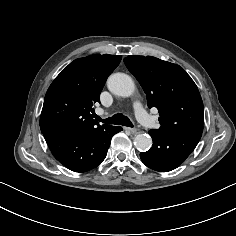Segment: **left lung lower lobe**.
Segmentation results:
<instances>
[{
	"label": "left lung lower lobe",
	"mask_w": 236,
	"mask_h": 236,
	"mask_svg": "<svg viewBox=\"0 0 236 236\" xmlns=\"http://www.w3.org/2000/svg\"><path fill=\"white\" fill-rule=\"evenodd\" d=\"M152 148L140 153L142 162L149 168L167 172L181 165L198 144L202 133L196 131H177L162 133L150 130Z\"/></svg>",
	"instance_id": "0a47b994"
}]
</instances>
